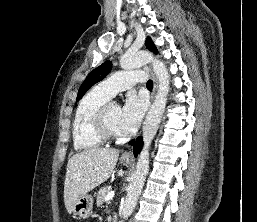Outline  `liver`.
I'll use <instances>...</instances> for the list:
<instances>
[{
    "label": "liver",
    "instance_id": "6515ba94",
    "mask_svg": "<svg viewBox=\"0 0 257 222\" xmlns=\"http://www.w3.org/2000/svg\"><path fill=\"white\" fill-rule=\"evenodd\" d=\"M119 151L116 149H88L73 155L67 163L64 181V203L68 213L75 201L105 182L114 171Z\"/></svg>",
    "mask_w": 257,
    "mask_h": 222
}]
</instances>
